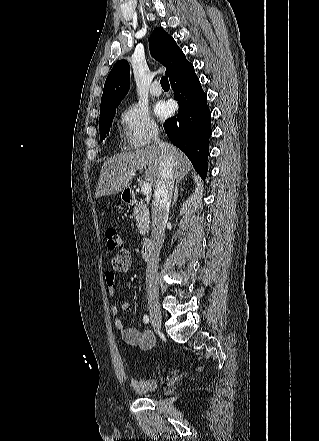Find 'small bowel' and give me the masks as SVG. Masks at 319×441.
<instances>
[{
	"instance_id": "c3829d8e",
	"label": "small bowel",
	"mask_w": 319,
	"mask_h": 441,
	"mask_svg": "<svg viewBox=\"0 0 319 441\" xmlns=\"http://www.w3.org/2000/svg\"><path fill=\"white\" fill-rule=\"evenodd\" d=\"M131 255L126 249H122L112 259V270L106 271L104 274L105 283L107 285V292L111 298L116 294L115 281L116 273L127 272L131 265ZM130 308L128 302L120 304L112 303L111 313L115 317V326L119 330L123 341L141 350H149L155 344V336L150 330L140 331L136 328L127 327L124 325L122 319L119 317L121 311H127Z\"/></svg>"
}]
</instances>
